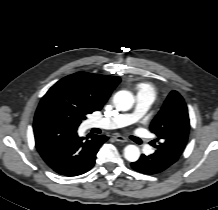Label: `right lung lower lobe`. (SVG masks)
<instances>
[{
  "label": "right lung lower lobe",
  "mask_w": 218,
  "mask_h": 210,
  "mask_svg": "<svg viewBox=\"0 0 218 210\" xmlns=\"http://www.w3.org/2000/svg\"><path fill=\"white\" fill-rule=\"evenodd\" d=\"M36 148L46 164L56 173L77 176L95 164L104 135L79 137L77 129L55 120H39L33 124Z\"/></svg>",
  "instance_id": "1"
}]
</instances>
